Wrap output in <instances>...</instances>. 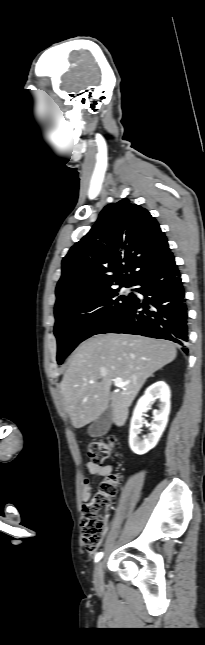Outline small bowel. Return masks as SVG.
Listing matches in <instances>:
<instances>
[{
    "label": "small bowel",
    "instance_id": "obj_1",
    "mask_svg": "<svg viewBox=\"0 0 205 645\" xmlns=\"http://www.w3.org/2000/svg\"><path fill=\"white\" fill-rule=\"evenodd\" d=\"M89 476L83 479L82 499L87 501L90 498L92 485L94 479L101 476H107L113 471V467L108 464L95 465L93 463L87 464Z\"/></svg>",
    "mask_w": 205,
    "mask_h": 645
}]
</instances>
